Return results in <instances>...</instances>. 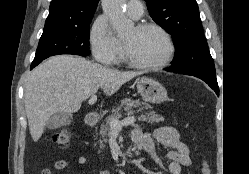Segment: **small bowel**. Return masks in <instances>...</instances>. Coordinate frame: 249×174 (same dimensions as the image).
<instances>
[{"mask_svg":"<svg viewBox=\"0 0 249 174\" xmlns=\"http://www.w3.org/2000/svg\"><path fill=\"white\" fill-rule=\"evenodd\" d=\"M132 138L136 145H142L141 151L147 153L152 162L158 167L159 172L155 174H181L182 167H190L192 165V157L190 150L185 142L180 138L179 132L170 126L160 127L153 133V138L150 134L143 132L136 127L132 132ZM155 141L168 150L166 157L169 159V164L165 166L162 159L156 152ZM76 161L80 165H85L88 159L84 155H79ZM70 162L68 160H58L53 164V169H43L42 174H55V171H60L68 168ZM99 174H110L108 170L99 172Z\"/></svg>","mask_w":249,"mask_h":174,"instance_id":"small-bowel-1","label":"small bowel"}]
</instances>
